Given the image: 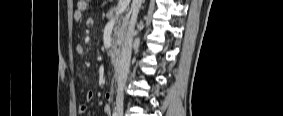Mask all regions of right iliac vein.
<instances>
[{
  "label": "right iliac vein",
  "instance_id": "right-iliac-vein-1",
  "mask_svg": "<svg viewBox=\"0 0 283 116\" xmlns=\"http://www.w3.org/2000/svg\"><path fill=\"white\" fill-rule=\"evenodd\" d=\"M117 111H118L119 116H123V107L122 106H119Z\"/></svg>",
  "mask_w": 283,
  "mask_h": 116
}]
</instances>
